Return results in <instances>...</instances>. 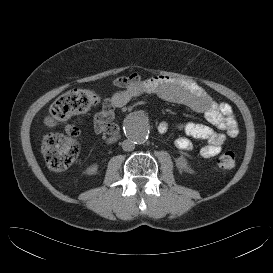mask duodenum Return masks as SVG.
Wrapping results in <instances>:
<instances>
[{
  "label": "duodenum",
  "instance_id": "410a0bca",
  "mask_svg": "<svg viewBox=\"0 0 273 273\" xmlns=\"http://www.w3.org/2000/svg\"><path fill=\"white\" fill-rule=\"evenodd\" d=\"M119 138V135H114L108 139L109 143L115 142Z\"/></svg>",
  "mask_w": 273,
  "mask_h": 273
}]
</instances>
